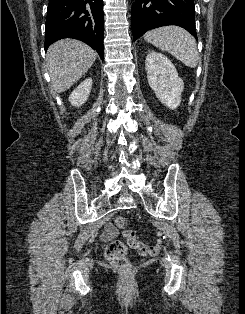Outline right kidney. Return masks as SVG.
Listing matches in <instances>:
<instances>
[{"label":"right kidney","instance_id":"1","mask_svg":"<svg viewBox=\"0 0 245 314\" xmlns=\"http://www.w3.org/2000/svg\"><path fill=\"white\" fill-rule=\"evenodd\" d=\"M92 88V79L83 81L69 96V102L75 107L83 105L89 97Z\"/></svg>","mask_w":245,"mask_h":314}]
</instances>
